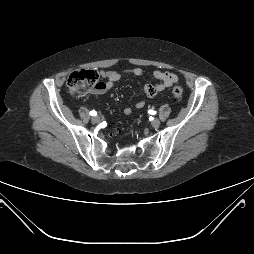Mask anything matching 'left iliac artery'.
Instances as JSON below:
<instances>
[{
    "label": "left iliac artery",
    "instance_id": "1",
    "mask_svg": "<svg viewBox=\"0 0 254 254\" xmlns=\"http://www.w3.org/2000/svg\"><path fill=\"white\" fill-rule=\"evenodd\" d=\"M148 112H149V114H151V115L156 114V111H154V110H149Z\"/></svg>",
    "mask_w": 254,
    "mask_h": 254
}]
</instances>
